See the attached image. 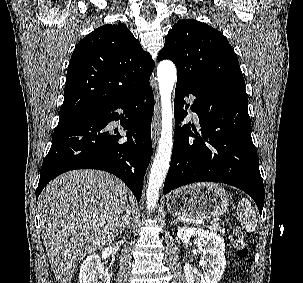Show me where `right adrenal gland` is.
<instances>
[{"mask_svg": "<svg viewBox=\"0 0 303 283\" xmlns=\"http://www.w3.org/2000/svg\"><path fill=\"white\" fill-rule=\"evenodd\" d=\"M130 219H131L130 211H127L126 215L123 216V218H122V222H121L119 230L117 232L118 234L122 233L126 228L129 227V225H130Z\"/></svg>", "mask_w": 303, "mask_h": 283, "instance_id": "1", "label": "right adrenal gland"}]
</instances>
